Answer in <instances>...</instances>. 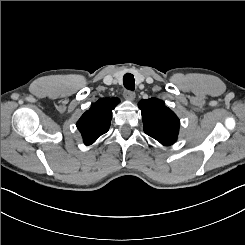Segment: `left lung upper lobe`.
Returning a JSON list of instances; mask_svg holds the SVG:
<instances>
[{
	"instance_id": "1",
	"label": "left lung upper lobe",
	"mask_w": 245,
	"mask_h": 245,
	"mask_svg": "<svg viewBox=\"0 0 245 245\" xmlns=\"http://www.w3.org/2000/svg\"><path fill=\"white\" fill-rule=\"evenodd\" d=\"M138 107L142 113L144 132L162 145L169 146L177 140L180 121L175 113L157 98L141 100Z\"/></svg>"
}]
</instances>
